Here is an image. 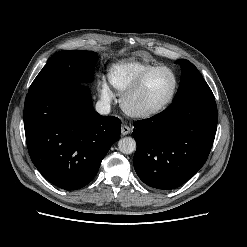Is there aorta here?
I'll return each instance as SVG.
<instances>
[{"label":"aorta","instance_id":"obj_1","mask_svg":"<svg viewBox=\"0 0 247 247\" xmlns=\"http://www.w3.org/2000/svg\"><path fill=\"white\" fill-rule=\"evenodd\" d=\"M118 148L123 154H131L136 150V142L131 137H124L119 140Z\"/></svg>","mask_w":247,"mask_h":247}]
</instances>
